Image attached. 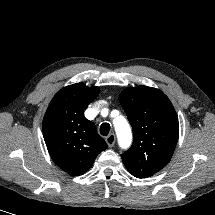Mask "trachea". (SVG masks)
<instances>
[{
    "label": "trachea",
    "instance_id": "trachea-1",
    "mask_svg": "<svg viewBox=\"0 0 215 215\" xmlns=\"http://www.w3.org/2000/svg\"><path fill=\"white\" fill-rule=\"evenodd\" d=\"M110 131V125L109 123H102L101 126H100V133L101 135L103 136H107L108 133Z\"/></svg>",
    "mask_w": 215,
    "mask_h": 215
}]
</instances>
